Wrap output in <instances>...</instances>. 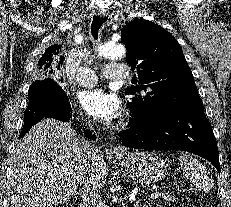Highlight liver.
Listing matches in <instances>:
<instances>
[{
	"instance_id": "6515ba94",
	"label": "liver",
	"mask_w": 231,
	"mask_h": 207,
	"mask_svg": "<svg viewBox=\"0 0 231 207\" xmlns=\"http://www.w3.org/2000/svg\"><path fill=\"white\" fill-rule=\"evenodd\" d=\"M100 155L102 162L96 171L99 190L107 178ZM11 165V207H52L76 194L86 157L81 138L70 123L47 118L22 138Z\"/></svg>"
}]
</instances>
